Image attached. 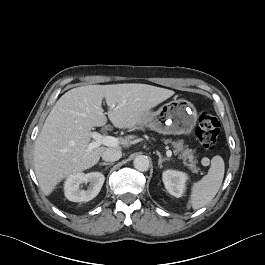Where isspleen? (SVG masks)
<instances>
[{"mask_svg":"<svg viewBox=\"0 0 265 265\" xmlns=\"http://www.w3.org/2000/svg\"><path fill=\"white\" fill-rule=\"evenodd\" d=\"M225 172L224 161L216 155L211 159L210 169L200 181L193 183L187 209L197 210L212 201L221 187Z\"/></svg>","mask_w":265,"mask_h":265,"instance_id":"spleen-1","label":"spleen"}]
</instances>
